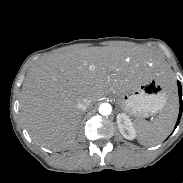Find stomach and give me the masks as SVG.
Masks as SVG:
<instances>
[{"mask_svg": "<svg viewBox=\"0 0 183 183\" xmlns=\"http://www.w3.org/2000/svg\"><path fill=\"white\" fill-rule=\"evenodd\" d=\"M122 108L136 117H147L160 112L167 103L165 84L156 75L154 64L135 70L134 80L119 96Z\"/></svg>", "mask_w": 183, "mask_h": 183, "instance_id": "stomach-1", "label": "stomach"}]
</instances>
